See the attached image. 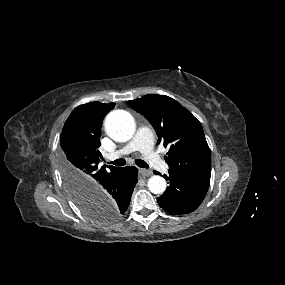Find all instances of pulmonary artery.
<instances>
[{"label":"pulmonary artery","mask_w":285,"mask_h":285,"mask_svg":"<svg viewBox=\"0 0 285 285\" xmlns=\"http://www.w3.org/2000/svg\"><path fill=\"white\" fill-rule=\"evenodd\" d=\"M154 137L152 131L147 126H140L133 139L121 149L107 154L108 160H115L123 155H129L135 151H140L145 160L156 170L166 173L168 164L153 149Z\"/></svg>","instance_id":"e3ab8cb5"}]
</instances>
